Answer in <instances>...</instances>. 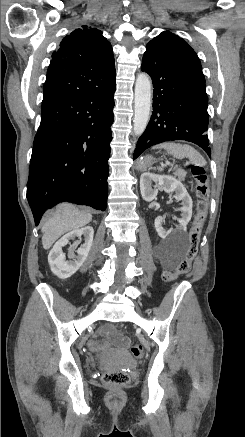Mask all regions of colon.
<instances>
[{
    "label": "colon",
    "instance_id": "colon-1",
    "mask_svg": "<svg viewBox=\"0 0 245 437\" xmlns=\"http://www.w3.org/2000/svg\"><path fill=\"white\" fill-rule=\"evenodd\" d=\"M192 175L196 183V213L193 219L192 227L189 231L188 248L185 257L173 269L166 270L163 274L165 282H173L180 275L190 271L192 262L195 259L200 243L202 226L207 214V201L209 197V181L206 170L202 166H193ZM91 348L96 350L99 348L97 342L91 344ZM131 354L135 358H141L144 354V349L141 345H133L130 348ZM103 383L111 386H124L129 382V376L123 371H106L101 377Z\"/></svg>",
    "mask_w": 245,
    "mask_h": 437
}]
</instances>
